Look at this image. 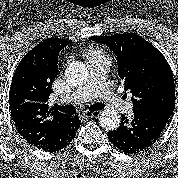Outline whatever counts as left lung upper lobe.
Returning <instances> with one entry per match:
<instances>
[{"label":"left lung upper lobe","instance_id":"obj_1","mask_svg":"<svg viewBox=\"0 0 178 178\" xmlns=\"http://www.w3.org/2000/svg\"><path fill=\"white\" fill-rule=\"evenodd\" d=\"M116 57L125 91L133 95V113L158 110L173 113L175 85L164 56L141 36L132 33L92 36Z\"/></svg>","mask_w":178,"mask_h":178}]
</instances>
